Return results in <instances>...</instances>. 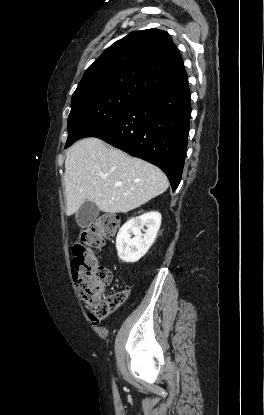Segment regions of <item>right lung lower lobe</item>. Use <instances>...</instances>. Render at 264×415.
Masks as SVG:
<instances>
[{
  "instance_id": "obj_1",
  "label": "right lung lower lobe",
  "mask_w": 264,
  "mask_h": 415,
  "mask_svg": "<svg viewBox=\"0 0 264 415\" xmlns=\"http://www.w3.org/2000/svg\"><path fill=\"white\" fill-rule=\"evenodd\" d=\"M190 115V89L185 79L143 97L88 137H98L158 166L175 190L184 167Z\"/></svg>"
}]
</instances>
